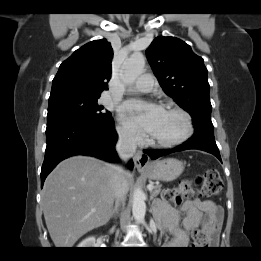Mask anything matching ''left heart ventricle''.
Returning a JSON list of instances; mask_svg holds the SVG:
<instances>
[{
    "mask_svg": "<svg viewBox=\"0 0 261 261\" xmlns=\"http://www.w3.org/2000/svg\"><path fill=\"white\" fill-rule=\"evenodd\" d=\"M183 129V120L178 114L163 110L155 130L150 136L156 140H171L179 136Z\"/></svg>",
    "mask_w": 261,
    "mask_h": 261,
    "instance_id": "obj_1",
    "label": "left heart ventricle"
}]
</instances>
